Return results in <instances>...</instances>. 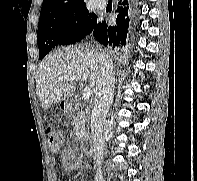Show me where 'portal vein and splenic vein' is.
<instances>
[{"mask_svg":"<svg viewBox=\"0 0 197 181\" xmlns=\"http://www.w3.org/2000/svg\"><path fill=\"white\" fill-rule=\"evenodd\" d=\"M88 79V76L85 73H79L75 75H65V76H60L58 78V81H74V80H79V81H86ZM91 94V89L89 86H85L83 89L82 97L83 99H88Z\"/></svg>","mask_w":197,"mask_h":181,"instance_id":"obj_1","label":"portal vein and splenic vein"}]
</instances>
